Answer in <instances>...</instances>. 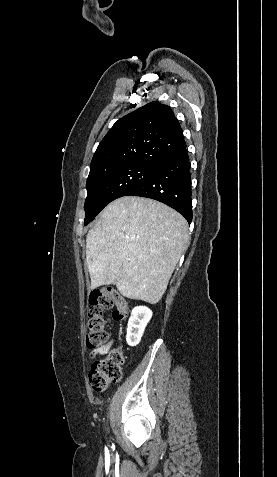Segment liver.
Returning a JSON list of instances; mask_svg holds the SVG:
<instances>
[{
	"instance_id": "6515ba94",
	"label": "liver",
	"mask_w": 277,
	"mask_h": 477,
	"mask_svg": "<svg viewBox=\"0 0 277 477\" xmlns=\"http://www.w3.org/2000/svg\"><path fill=\"white\" fill-rule=\"evenodd\" d=\"M188 240L185 218L161 202H111L86 236L91 289L113 284L124 297L158 303Z\"/></svg>"
}]
</instances>
